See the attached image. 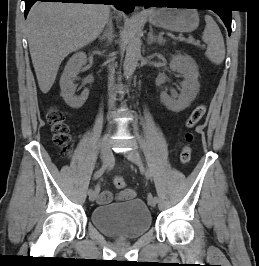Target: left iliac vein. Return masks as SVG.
Wrapping results in <instances>:
<instances>
[{
    "mask_svg": "<svg viewBox=\"0 0 259 266\" xmlns=\"http://www.w3.org/2000/svg\"><path fill=\"white\" fill-rule=\"evenodd\" d=\"M124 154L131 162L139 167H142V160L137 150L131 149L129 151H126ZM148 204L152 207H155L157 204L155 203V197L148 199Z\"/></svg>",
    "mask_w": 259,
    "mask_h": 266,
    "instance_id": "left-iliac-vein-1",
    "label": "left iliac vein"
}]
</instances>
